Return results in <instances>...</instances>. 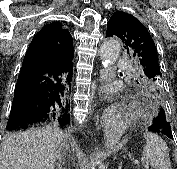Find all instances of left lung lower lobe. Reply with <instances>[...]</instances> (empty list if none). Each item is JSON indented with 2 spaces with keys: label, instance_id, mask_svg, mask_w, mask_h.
I'll use <instances>...</instances> for the list:
<instances>
[{
  "label": "left lung lower lobe",
  "instance_id": "1",
  "mask_svg": "<svg viewBox=\"0 0 177 169\" xmlns=\"http://www.w3.org/2000/svg\"><path fill=\"white\" fill-rule=\"evenodd\" d=\"M152 99L155 105L159 108V116L154 119L153 124L148 128V131L162 133L170 139H173L170 123L167 122L165 111L162 107L163 102L161 97L152 94Z\"/></svg>",
  "mask_w": 177,
  "mask_h": 169
}]
</instances>
